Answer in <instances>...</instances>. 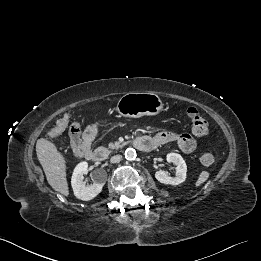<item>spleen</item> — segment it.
Returning <instances> with one entry per match:
<instances>
[{
    "label": "spleen",
    "instance_id": "3e777b00",
    "mask_svg": "<svg viewBox=\"0 0 261 261\" xmlns=\"http://www.w3.org/2000/svg\"><path fill=\"white\" fill-rule=\"evenodd\" d=\"M209 172L207 171H202L195 183L196 187H199L200 185H202L208 178H209Z\"/></svg>",
    "mask_w": 261,
    "mask_h": 261
}]
</instances>
